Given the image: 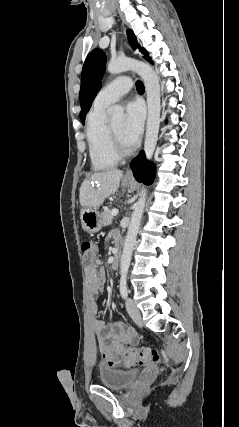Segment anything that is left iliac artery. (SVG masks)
I'll list each match as a JSON object with an SVG mask.
<instances>
[{"instance_id":"left-iliac-artery-1","label":"left iliac artery","mask_w":239,"mask_h":427,"mask_svg":"<svg viewBox=\"0 0 239 427\" xmlns=\"http://www.w3.org/2000/svg\"><path fill=\"white\" fill-rule=\"evenodd\" d=\"M120 294L122 298H127L128 296V288H127V279L126 276H122L120 279Z\"/></svg>"}]
</instances>
